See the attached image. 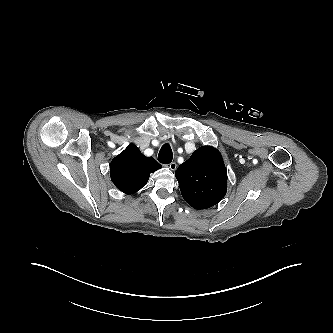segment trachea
I'll return each instance as SVG.
<instances>
[{"instance_id":"obj_1","label":"trachea","mask_w":333,"mask_h":333,"mask_svg":"<svg viewBox=\"0 0 333 333\" xmlns=\"http://www.w3.org/2000/svg\"><path fill=\"white\" fill-rule=\"evenodd\" d=\"M173 158V153L170 145L168 143L164 144L158 154V161L163 164L171 163Z\"/></svg>"}]
</instances>
